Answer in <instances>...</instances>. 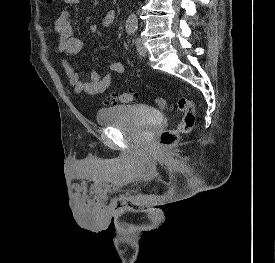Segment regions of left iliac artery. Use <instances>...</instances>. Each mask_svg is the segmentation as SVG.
I'll return each instance as SVG.
<instances>
[{
	"mask_svg": "<svg viewBox=\"0 0 275 263\" xmlns=\"http://www.w3.org/2000/svg\"><path fill=\"white\" fill-rule=\"evenodd\" d=\"M136 29H137L136 27H128L127 28V32L130 33V34H132V33H134L136 31Z\"/></svg>",
	"mask_w": 275,
	"mask_h": 263,
	"instance_id": "44dca946",
	"label": "left iliac artery"
}]
</instances>
